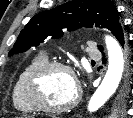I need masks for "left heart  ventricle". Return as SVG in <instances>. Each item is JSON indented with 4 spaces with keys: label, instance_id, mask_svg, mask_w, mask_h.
I'll return each mask as SVG.
<instances>
[{
    "label": "left heart ventricle",
    "instance_id": "b2bd125f",
    "mask_svg": "<svg viewBox=\"0 0 133 118\" xmlns=\"http://www.w3.org/2000/svg\"><path fill=\"white\" fill-rule=\"evenodd\" d=\"M75 94V81L67 71H50L41 82L40 95L48 105H65L75 97Z\"/></svg>",
    "mask_w": 133,
    "mask_h": 118
}]
</instances>
